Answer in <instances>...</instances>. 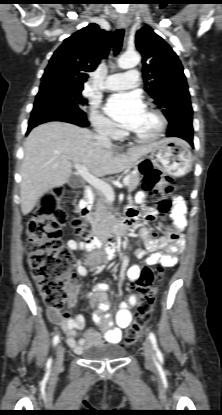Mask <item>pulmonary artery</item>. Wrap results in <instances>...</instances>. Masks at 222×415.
I'll return each mask as SVG.
<instances>
[{"mask_svg":"<svg viewBox=\"0 0 222 415\" xmlns=\"http://www.w3.org/2000/svg\"><path fill=\"white\" fill-rule=\"evenodd\" d=\"M139 84V73L137 70H129L124 73H116L107 76L101 88L106 91L127 90Z\"/></svg>","mask_w":222,"mask_h":415,"instance_id":"pulmonary-artery-1","label":"pulmonary artery"}]
</instances>
